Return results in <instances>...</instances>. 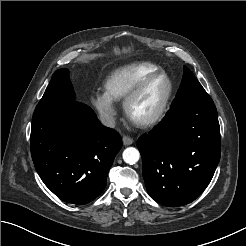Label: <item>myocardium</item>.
Returning a JSON list of instances; mask_svg holds the SVG:
<instances>
[{
    "label": "myocardium",
    "instance_id": "1",
    "mask_svg": "<svg viewBox=\"0 0 246 246\" xmlns=\"http://www.w3.org/2000/svg\"><path fill=\"white\" fill-rule=\"evenodd\" d=\"M158 77H165L169 83L168 93L161 107L154 115H152L149 118H146V119L135 118L132 114L133 103L140 96V94L147 87V85ZM173 94H174L173 80L165 71L161 70V71L151 73L147 75L146 77H144L141 81H139L124 99L123 107H124L125 114L129 118V120H131L135 125L142 127V128L151 127L157 124L158 122H160L164 118V116L166 115L169 109Z\"/></svg>",
    "mask_w": 246,
    "mask_h": 246
}]
</instances>
